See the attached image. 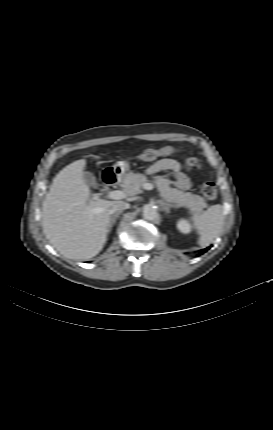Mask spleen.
Wrapping results in <instances>:
<instances>
[{
	"label": "spleen",
	"mask_w": 273,
	"mask_h": 430,
	"mask_svg": "<svg viewBox=\"0 0 273 430\" xmlns=\"http://www.w3.org/2000/svg\"><path fill=\"white\" fill-rule=\"evenodd\" d=\"M224 207L221 204L212 205L200 214L190 217L192 224L199 235V245L203 248L209 246L224 225Z\"/></svg>",
	"instance_id": "1"
}]
</instances>
